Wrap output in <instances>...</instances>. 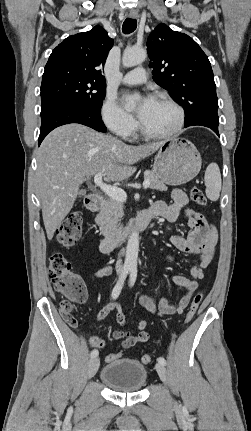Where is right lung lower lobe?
<instances>
[{
  "mask_svg": "<svg viewBox=\"0 0 251 431\" xmlns=\"http://www.w3.org/2000/svg\"><path fill=\"white\" fill-rule=\"evenodd\" d=\"M79 123L100 132H106L100 112H94L78 105L66 102H57L41 108V128L38 145L45 136L64 124Z\"/></svg>",
  "mask_w": 251,
  "mask_h": 431,
  "instance_id": "98d812e1",
  "label": "right lung lower lobe"
}]
</instances>
